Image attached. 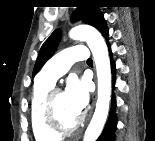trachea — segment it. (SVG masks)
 I'll return each mask as SVG.
<instances>
[{"label":"trachea","instance_id":"3493384b","mask_svg":"<svg viewBox=\"0 0 155 141\" xmlns=\"http://www.w3.org/2000/svg\"><path fill=\"white\" fill-rule=\"evenodd\" d=\"M90 62H92V59H91V58H89V59L87 60V63H90Z\"/></svg>","mask_w":155,"mask_h":141}]
</instances>
